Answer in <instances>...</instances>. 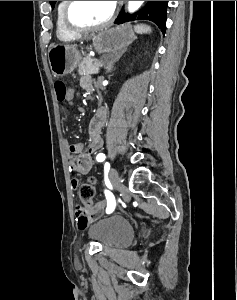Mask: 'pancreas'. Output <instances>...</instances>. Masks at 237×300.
<instances>
[{
  "mask_svg": "<svg viewBox=\"0 0 237 300\" xmlns=\"http://www.w3.org/2000/svg\"><path fill=\"white\" fill-rule=\"evenodd\" d=\"M94 63L95 59H91L90 55H86V57H83L81 63H79L78 65L79 75H95V73H98V69L95 67Z\"/></svg>",
  "mask_w": 237,
  "mask_h": 300,
  "instance_id": "pancreas-1",
  "label": "pancreas"
}]
</instances>
